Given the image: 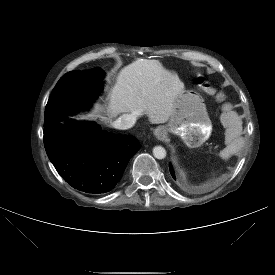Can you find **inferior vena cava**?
I'll list each match as a JSON object with an SVG mask.
<instances>
[{"label":"inferior vena cava","instance_id":"1","mask_svg":"<svg viewBox=\"0 0 275 275\" xmlns=\"http://www.w3.org/2000/svg\"><path fill=\"white\" fill-rule=\"evenodd\" d=\"M136 122V115L123 114L116 121L113 122V127L116 129L126 130L134 126Z\"/></svg>","mask_w":275,"mask_h":275}]
</instances>
